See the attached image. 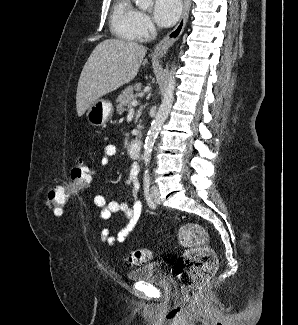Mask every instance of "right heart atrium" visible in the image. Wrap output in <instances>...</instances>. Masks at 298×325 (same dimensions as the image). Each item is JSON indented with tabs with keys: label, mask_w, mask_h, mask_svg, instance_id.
<instances>
[{
	"label": "right heart atrium",
	"mask_w": 298,
	"mask_h": 325,
	"mask_svg": "<svg viewBox=\"0 0 298 325\" xmlns=\"http://www.w3.org/2000/svg\"><path fill=\"white\" fill-rule=\"evenodd\" d=\"M155 27L152 20L145 12H140L137 25L132 30L134 41H152Z\"/></svg>",
	"instance_id": "1"
}]
</instances>
